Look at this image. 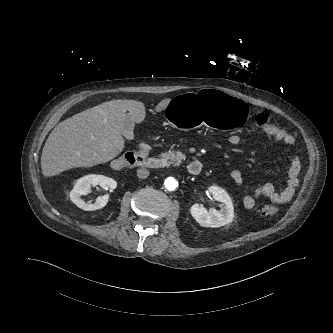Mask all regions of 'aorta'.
<instances>
[{"label":"aorta","mask_w":333,"mask_h":333,"mask_svg":"<svg viewBox=\"0 0 333 333\" xmlns=\"http://www.w3.org/2000/svg\"><path fill=\"white\" fill-rule=\"evenodd\" d=\"M164 186L169 191H174L178 187V182L173 177H168L164 181Z\"/></svg>","instance_id":"obj_1"}]
</instances>
